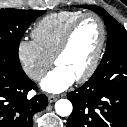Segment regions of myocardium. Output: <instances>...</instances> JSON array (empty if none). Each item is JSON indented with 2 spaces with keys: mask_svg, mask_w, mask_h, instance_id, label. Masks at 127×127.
<instances>
[{
  "mask_svg": "<svg viewBox=\"0 0 127 127\" xmlns=\"http://www.w3.org/2000/svg\"><path fill=\"white\" fill-rule=\"evenodd\" d=\"M89 18L94 19L99 23L100 30H101V38H100L99 46L97 48V51L93 57L91 64L89 65V67L83 74H81L79 77L76 78L77 82H84V81L88 80L94 74V72L96 71V69L99 66V63H100V60H101V57H102V54H103V51L105 48L106 36H107L106 25H105L103 19L94 13L82 14L67 29L60 44L58 45V47L53 55V63L56 65L58 59L67 51V49L70 45V42L72 40V37H73L76 29L78 28V26L84 20L89 19Z\"/></svg>",
  "mask_w": 127,
  "mask_h": 127,
  "instance_id": "myocardium-1",
  "label": "myocardium"
}]
</instances>
